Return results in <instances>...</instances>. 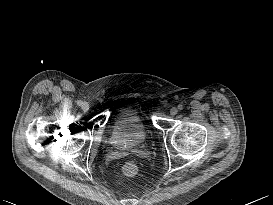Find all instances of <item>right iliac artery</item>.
<instances>
[{
	"label": "right iliac artery",
	"mask_w": 273,
	"mask_h": 205,
	"mask_svg": "<svg viewBox=\"0 0 273 205\" xmlns=\"http://www.w3.org/2000/svg\"><path fill=\"white\" fill-rule=\"evenodd\" d=\"M77 104H78L79 106H81V105L83 104V102H82V101H78Z\"/></svg>",
	"instance_id": "82829eb1"
}]
</instances>
